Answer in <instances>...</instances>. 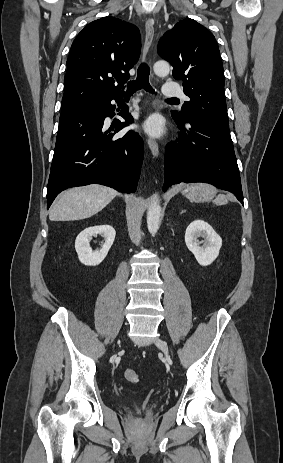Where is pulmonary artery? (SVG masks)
Instances as JSON below:
<instances>
[{"label":"pulmonary artery","mask_w":283,"mask_h":463,"mask_svg":"<svg viewBox=\"0 0 283 463\" xmlns=\"http://www.w3.org/2000/svg\"><path fill=\"white\" fill-rule=\"evenodd\" d=\"M162 93L168 98H183L186 99L182 89L173 82H167L162 87Z\"/></svg>","instance_id":"obj_1"}]
</instances>
